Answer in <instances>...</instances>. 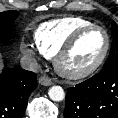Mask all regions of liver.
<instances>
[{
	"instance_id": "1",
	"label": "liver",
	"mask_w": 118,
	"mask_h": 118,
	"mask_svg": "<svg viewBox=\"0 0 118 118\" xmlns=\"http://www.w3.org/2000/svg\"><path fill=\"white\" fill-rule=\"evenodd\" d=\"M2 56H1V54H0V72H1V69H2Z\"/></svg>"
}]
</instances>
